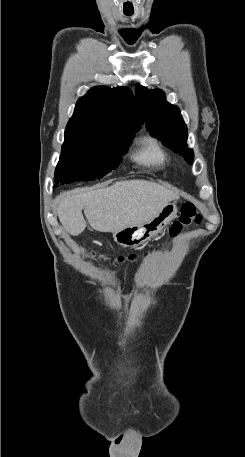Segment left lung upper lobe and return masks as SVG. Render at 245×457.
Returning a JSON list of instances; mask_svg holds the SVG:
<instances>
[{
    "label": "left lung upper lobe",
    "instance_id": "5c2ea615",
    "mask_svg": "<svg viewBox=\"0 0 245 457\" xmlns=\"http://www.w3.org/2000/svg\"><path fill=\"white\" fill-rule=\"evenodd\" d=\"M136 98L150 134L192 164L193 150L186 147L188 132L179 108L168 103L159 89L137 85Z\"/></svg>",
    "mask_w": 245,
    "mask_h": 457
}]
</instances>
